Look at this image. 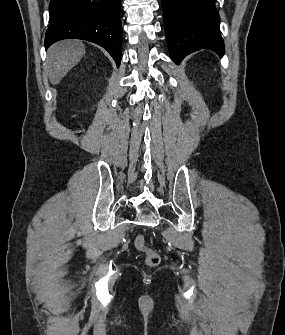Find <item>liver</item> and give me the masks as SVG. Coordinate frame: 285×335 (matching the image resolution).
<instances>
[{
    "instance_id": "obj_1",
    "label": "liver",
    "mask_w": 285,
    "mask_h": 335,
    "mask_svg": "<svg viewBox=\"0 0 285 335\" xmlns=\"http://www.w3.org/2000/svg\"><path fill=\"white\" fill-rule=\"evenodd\" d=\"M85 54L80 40H63L48 50L46 70L53 86L59 84L69 70H72Z\"/></svg>"
}]
</instances>
